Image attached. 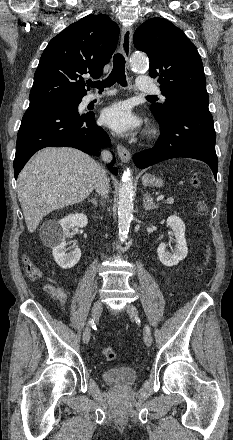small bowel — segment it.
Instances as JSON below:
<instances>
[{
	"label": "small bowel",
	"instance_id": "c3829d8e",
	"mask_svg": "<svg viewBox=\"0 0 233 440\" xmlns=\"http://www.w3.org/2000/svg\"><path fill=\"white\" fill-rule=\"evenodd\" d=\"M43 291L48 294L52 299L59 302L62 308L64 307L67 300V293L62 287L46 284L43 287Z\"/></svg>",
	"mask_w": 233,
	"mask_h": 440
}]
</instances>
